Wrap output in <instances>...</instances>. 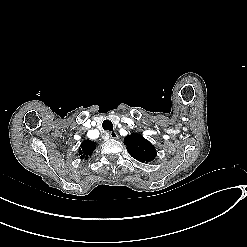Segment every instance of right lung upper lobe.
<instances>
[{"mask_svg":"<svg viewBox=\"0 0 247 247\" xmlns=\"http://www.w3.org/2000/svg\"><path fill=\"white\" fill-rule=\"evenodd\" d=\"M96 148L95 142L91 140H84L79 148V155L81 159H87L88 155H91L92 151Z\"/></svg>","mask_w":247,"mask_h":247,"instance_id":"cb5924a9","label":"right lung upper lobe"}]
</instances>
